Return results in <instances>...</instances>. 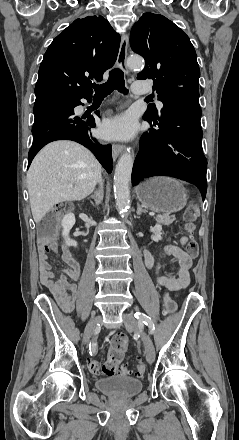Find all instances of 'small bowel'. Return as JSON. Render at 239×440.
I'll return each mask as SVG.
<instances>
[{
	"label": "small bowel",
	"instance_id": "obj_1",
	"mask_svg": "<svg viewBox=\"0 0 239 440\" xmlns=\"http://www.w3.org/2000/svg\"><path fill=\"white\" fill-rule=\"evenodd\" d=\"M187 242L186 237L181 238V243ZM58 245L51 243L48 246H39V263H40V278L42 284L52 293L61 308L65 312H71L75 307L77 286L71 282L79 279L80 265L74 255L67 248H64L61 254L66 268L58 279L51 269L48 260L49 251L58 253ZM162 256L172 257L173 262H177L176 277H166L159 275V264L155 263L153 255L148 251H144L145 264L148 268H155L156 280L160 286H163L171 291H181L185 289L190 282V269L192 266V257H190L181 248L174 245H167L163 251Z\"/></svg>",
	"mask_w": 239,
	"mask_h": 440
}]
</instances>
